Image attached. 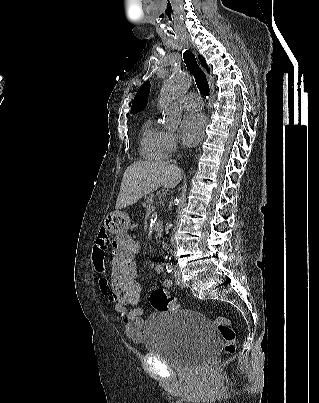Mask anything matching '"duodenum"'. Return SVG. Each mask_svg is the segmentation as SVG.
Segmentation results:
<instances>
[{
	"instance_id": "obj_1",
	"label": "duodenum",
	"mask_w": 319,
	"mask_h": 403,
	"mask_svg": "<svg viewBox=\"0 0 319 403\" xmlns=\"http://www.w3.org/2000/svg\"><path fill=\"white\" fill-rule=\"evenodd\" d=\"M153 229L157 233H163L164 232V224L161 221H156L153 225Z\"/></svg>"
}]
</instances>
